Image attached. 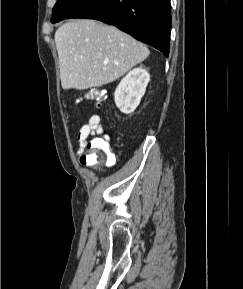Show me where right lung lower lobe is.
<instances>
[{"label":"right lung lower lobe","mask_w":243,"mask_h":289,"mask_svg":"<svg viewBox=\"0 0 243 289\" xmlns=\"http://www.w3.org/2000/svg\"><path fill=\"white\" fill-rule=\"evenodd\" d=\"M68 18H89L112 24L169 55L170 0H84Z\"/></svg>","instance_id":"98d812e1"}]
</instances>
